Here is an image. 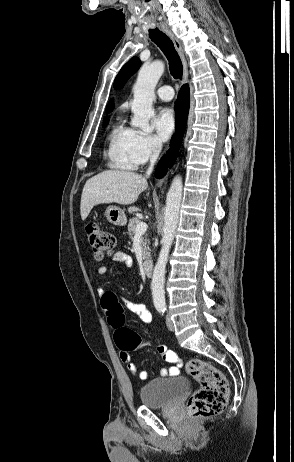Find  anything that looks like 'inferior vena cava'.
I'll return each mask as SVG.
<instances>
[{"instance_id": "1", "label": "inferior vena cava", "mask_w": 294, "mask_h": 462, "mask_svg": "<svg viewBox=\"0 0 294 462\" xmlns=\"http://www.w3.org/2000/svg\"><path fill=\"white\" fill-rule=\"evenodd\" d=\"M161 151V144L159 143H153L152 145V155L150 156V166L147 170V175H150L152 170H153V167H154V164L156 162V160L158 159V156H159V153Z\"/></svg>"}]
</instances>
